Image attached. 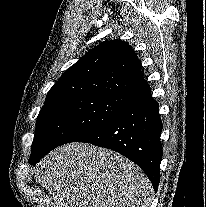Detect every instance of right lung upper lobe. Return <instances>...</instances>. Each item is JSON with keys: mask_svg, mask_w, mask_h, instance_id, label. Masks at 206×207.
<instances>
[{"mask_svg": "<svg viewBox=\"0 0 206 207\" xmlns=\"http://www.w3.org/2000/svg\"><path fill=\"white\" fill-rule=\"evenodd\" d=\"M143 80L141 62L132 47L121 40L105 41L64 72L45 102L81 96L126 95Z\"/></svg>", "mask_w": 206, "mask_h": 207, "instance_id": "1", "label": "right lung upper lobe"}]
</instances>
